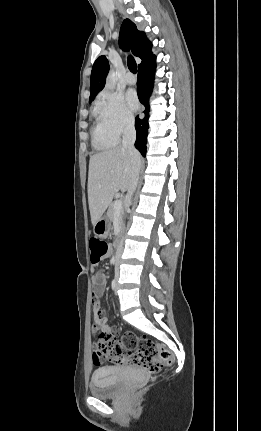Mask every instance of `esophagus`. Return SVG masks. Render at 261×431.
Returning <instances> with one entry per match:
<instances>
[{
    "label": "esophagus",
    "mask_w": 261,
    "mask_h": 431,
    "mask_svg": "<svg viewBox=\"0 0 261 431\" xmlns=\"http://www.w3.org/2000/svg\"><path fill=\"white\" fill-rule=\"evenodd\" d=\"M140 117H143V113L142 112H140Z\"/></svg>",
    "instance_id": "34e87169"
}]
</instances>
